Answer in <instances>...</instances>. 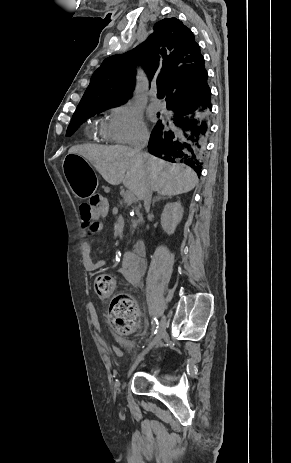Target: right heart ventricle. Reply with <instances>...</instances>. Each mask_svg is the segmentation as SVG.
I'll return each mask as SVG.
<instances>
[{"label":"right heart ventricle","mask_w":291,"mask_h":463,"mask_svg":"<svg viewBox=\"0 0 291 463\" xmlns=\"http://www.w3.org/2000/svg\"><path fill=\"white\" fill-rule=\"evenodd\" d=\"M97 132L102 135L103 134V125H101L98 129Z\"/></svg>","instance_id":"e07e8e85"}]
</instances>
